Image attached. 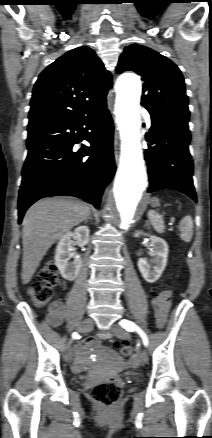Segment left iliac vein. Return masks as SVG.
Returning a JSON list of instances; mask_svg holds the SVG:
<instances>
[{
  "label": "left iliac vein",
  "mask_w": 212,
  "mask_h": 438,
  "mask_svg": "<svg viewBox=\"0 0 212 438\" xmlns=\"http://www.w3.org/2000/svg\"><path fill=\"white\" fill-rule=\"evenodd\" d=\"M111 331L118 337V338H120V339H123V340H127V339H129V333L126 331V330H124V329H122V328H120V327H118V326H113L112 327V329H111ZM139 359H140V362L141 363H146L147 362V360H148V356H147V351L146 350H143L141 353H140V355H139Z\"/></svg>",
  "instance_id": "1"
}]
</instances>
